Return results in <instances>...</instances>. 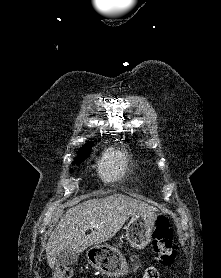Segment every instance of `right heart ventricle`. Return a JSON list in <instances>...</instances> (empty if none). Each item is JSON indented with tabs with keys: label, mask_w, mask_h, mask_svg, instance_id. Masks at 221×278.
I'll use <instances>...</instances> for the list:
<instances>
[{
	"label": "right heart ventricle",
	"mask_w": 221,
	"mask_h": 278,
	"mask_svg": "<svg viewBox=\"0 0 221 278\" xmlns=\"http://www.w3.org/2000/svg\"><path fill=\"white\" fill-rule=\"evenodd\" d=\"M99 171L107 182L118 180H137L132 157L126 151L111 149L105 153Z\"/></svg>",
	"instance_id": "e07e8e85"
}]
</instances>
